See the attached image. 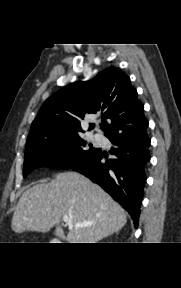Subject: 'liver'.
<instances>
[{"label": "liver", "mask_w": 181, "mask_h": 288, "mask_svg": "<svg viewBox=\"0 0 181 288\" xmlns=\"http://www.w3.org/2000/svg\"><path fill=\"white\" fill-rule=\"evenodd\" d=\"M64 216L73 223L67 236L61 222ZM126 222V212L101 187L77 172H62L50 183L36 184L22 194L11 227L22 233L47 232L56 226L55 236L69 243H97ZM79 223L91 225L76 227Z\"/></svg>", "instance_id": "liver-1"}]
</instances>
